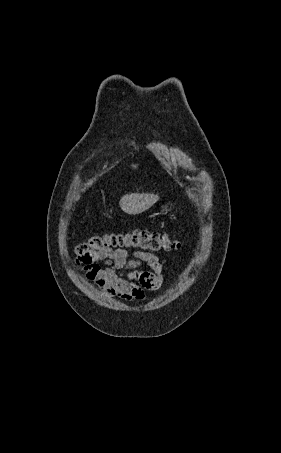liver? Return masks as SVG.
Returning <instances> with one entry per match:
<instances>
[{
	"label": "liver",
	"mask_w": 281,
	"mask_h": 453,
	"mask_svg": "<svg viewBox=\"0 0 281 453\" xmlns=\"http://www.w3.org/2000/svg\"><path fill=\"white\" fill-rule=\"evenodd\" d=\"M158 194H153V192H131V194H123L120 198V206L124 212L127 214H139V212H144L147 208H150L154 202H157Z\"/></svg>",
	"instance_id": "1"
}]
</instances>
